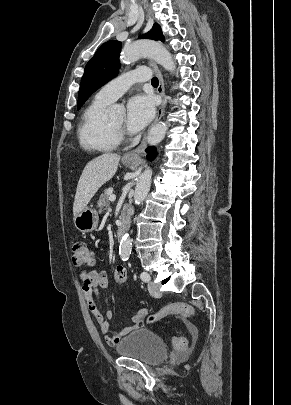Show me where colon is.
<instances>
[{"label": "colon", "mask_w": 291, "mask_h": 405, "mask_svg": "<svg viewBox=\"0 0 291 405\" xmlns=\"http://www.w3.org/2000/svg\"><path fill=\"white\" fill-rule=\"evenodd\" d=\"M72 262L76 267H91L96 263V254L94 250L85 242L78 241L73 245ZM114 281L119 287H123L127 281L126 269L123 266H117L114 271ZM168 315H180L186 319L194 315V310L191 306L183 303H174L165 306L158 313L149 318L150 322H154ZM172 345L177 350L187 348V340L184 337H173Z\"/></svg>", "instance_id": "5ec220e1"}]
</instances>
